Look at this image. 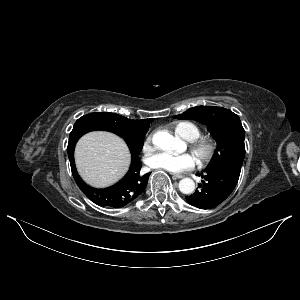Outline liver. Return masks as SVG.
Listing matches in <instances>:
<instances>
[{
  "label": "liver",
  "mask_w": 300,
  "mask_h": 300,
  "mask_svg": "<svg viewBox=\"0 0 300 300\" xmlns=\"http://www.w3.org/2000/svg\"><path fill=\"white\" fill-rule=\"evenodd\" d=\"M130 160L123 139L109 132H90L80 138L75 148L79 174L86 183L97 188L120 180L127 172Z\"/></svg>",
  "instance_id": "obj_1"
}]
</instances>
